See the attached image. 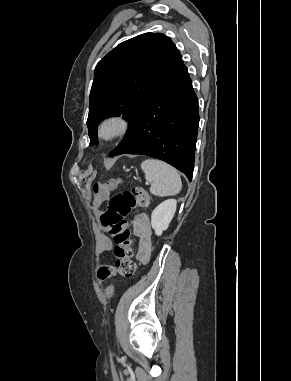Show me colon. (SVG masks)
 Masks as SVG:
<instances>
[{"label": "colon", "instance_id": "5ec220e1", "mask_svg": "<svg viewBox=\"0 0 291 381\" xmlns=\"http://www.w3.org/2000/svg\"><path fill=\"white\" fill-rule=\"evenodd\" d=\"M116 184L117 182L111 181L91 186L96 200L108 198V209L102 215L101 222L115 243L114 263L101 264L96 270V277L100 282H105L116 275L125 278L133 276L136 265L133 261V239L127 217L134 209L147 208L150 203L149 194L141 187L109 196Z\"/></svg>", "mask_w": 291, "mask_h": 381}]
</instances>
